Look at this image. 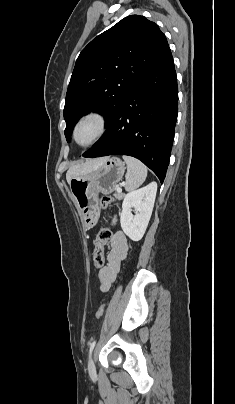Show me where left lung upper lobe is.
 <instances>
[{
  "mask_svg": "<svg viewBox=\"0 0 235 404\" xmlns=\"http://www.w3.org/2000/svg\"><path fill=\"white\" fill-rule=\"evenodd\" d=\"M157 24L131 15L94 38L80 53L67 89L65 137L83 114L106 115V126L138 80L168 48Z\"/></svg>",
  "mask_w": 235,
  "mask_h": 404,
  "instance_id": "1",
  "label": "left lung upper lobe"
}]
</instances>
